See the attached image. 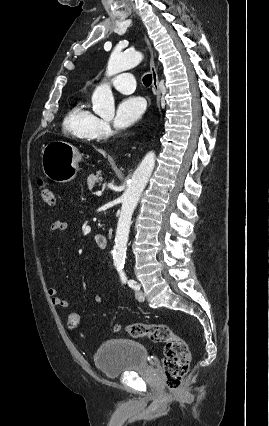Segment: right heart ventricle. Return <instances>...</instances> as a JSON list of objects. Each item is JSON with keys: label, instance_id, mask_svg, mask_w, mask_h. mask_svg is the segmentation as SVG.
Here are the masks:
<instances>
[{"label": "right heart ventricle", "instance_id": "1", "mask_svg": "<svg viewBox=\"0 0 269 426\" xmlns=\"http://www.w3.org/2000/svg\"><path fill=\"white\" fill-rule=\"evenodd\" d=\"M97 116L89 110L84 101L77 102L64 119V128L74 136L92 141L96 138Z\"/></svg>", "mask_w": 269, "mask_h": 426}]
</instances>
